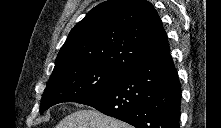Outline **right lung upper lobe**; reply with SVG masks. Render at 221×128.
I'll list each match as a JSON object with an SVG mask.
<instances>
[{
	"instance_id": "obj_1",
	"label": "right lung upper lobe",
	"mask_w": 221,
	"mask_h": 128,
	"mask_svg": "<svg viewBox=\"0 0 221 128\" xmlns=\"http://www.w3.org/2000/svg\"><path fill=\"white\" fill-rule=\"evenodd\" d=\"M167 51V35L151 3L108 0L90 10L70 31L53 72L86 65L128 71Z\"/></svg>"
}]
</instances>
